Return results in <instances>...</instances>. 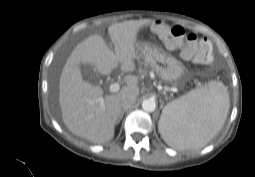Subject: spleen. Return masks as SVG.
Listing matches in <instances>:
<instances>
[{
	"label": "spleen",
	"instance_id": "spleen-1",
	"mask_svg": "<svg viewBox=\"0 0 255 177\" xmlns=\"http://www.w3.org/2000/svg\"><path fill=\"white\" fill-rule=\"evenodd\" d=\"M229 107L226 87L211 81L165 106L159 120L160 134L177 149L203 147L223 127Z\"/></svg>",
	"mask_w": 255,
	"mask_h": 177
}]
</instances>
